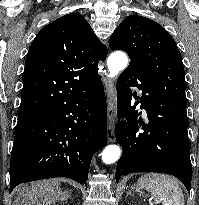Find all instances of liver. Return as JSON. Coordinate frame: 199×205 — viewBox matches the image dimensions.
I'll use <instances>...</instances> for the list:
<instances>
[{
  "instance_id": "obj_1",
  "label": "liver",
  "mask_w": 199,
  "mask_h": 205,
  "mask_svg": "<svg viewBox=\"0 0 199 205\" xmlns=\"http://www.w3.org/2000/svg\"><path fill=\"white\" fill-rule=\"evenodd\" d=\"M47 196V202H57L64 200L68 194L60 190V182L58 180H45L36 182L25 192H18L17 205H41V199Z\"/></svg>"
}]
</instances>
